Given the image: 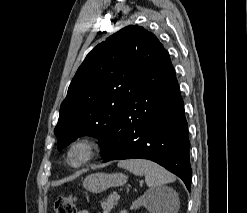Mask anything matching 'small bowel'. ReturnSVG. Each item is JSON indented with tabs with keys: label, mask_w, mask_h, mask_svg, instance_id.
<instances>
[{
	"label": "small bowel",
	"mask_w": 247,
	"mask_h": 213,
	"mask_svg": "<svg viewBox=\"0 0 247 213\" xmlns=\"http://www.w3.org/2000/svg\"><path fill=\"white\" fill-rule=\"evenodd\" d=\"M77 213H89L87 210H80Z\"/></svg>",
	"instance_id": "obj_1"
}]
</instances>
